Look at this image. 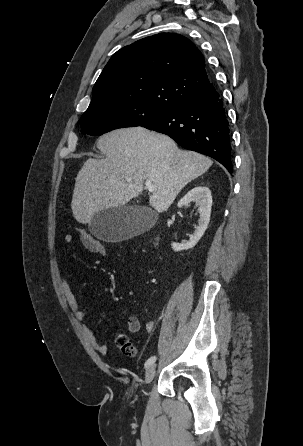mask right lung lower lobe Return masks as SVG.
<instances>
[{
    "instance_id": "obj_1",
    "label": "right lung lower lobe",
    "mask_w": 303,
    "mask_h": 446,
    "mask_svg": "<svg viewBox=\"0 0 303 446\" xmlns=\"http://www.w3.org/2000/svg\"><path fill=\"white\" fill-rule=\"evenodd\" d=\"M141 126L164 133L183 148L212 157L233 172L229 124L215 88L188 98Z\"/></svg>"
}]
</instances>
